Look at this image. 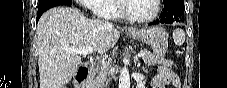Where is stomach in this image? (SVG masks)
<instances>
[{
  "label": "stomach",
  "instance_id": "stomach-1",
  "mask_svg": "<svg viewBox=\"0 0 227 88\" xmlns=\"http://www.w3.org/2000/svg\"><path fill=\"white\" fill-rule=\"evenodd\" d=\"M131 38L145 43L151 47L155 55L162 56L168 48V33L160 26H151L128 32Z\"/></svg>",
  "mask_w": 227,
  "mask_h": 88
}]
</instances>
